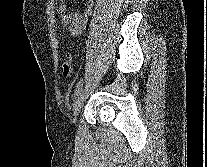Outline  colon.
Masks as SVG:
<instances>
[{"label": "colon", "mask_w": 207, "mask_h": 167, "mask_svg": "<svg viewBox=\"0 0 207 167\" xmlns=\"http://www.w3.org/2000/svg\"><path fill=\"white\" fill-rule=\"evenodd\" d=\"M73 68H74V59L71 55H68L62 64L63 75L65 77L70 76L73 72Z\"/></svg>", "instance_id": "obj_1"}]
</instances>
